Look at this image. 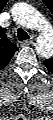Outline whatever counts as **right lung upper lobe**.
<instances>
[{"mask_svg":"<svg viewBox=\"0 0 53 120\" xmlns=\"http://www.w3.org/2000/svg\"><path fill=\"white\" fill-rule=\"evenodd\" d=\"M1 46H0V63L2 64L1 66L4 67L6 66L15 51L18 50L17 46L10 42L8 38H6L5 34L3 33V38H2Z\"/></svg>","mask_w":53,"mask_h":120,"instance_id":"1","label":"right lung upper lobe"}]
</instances>
